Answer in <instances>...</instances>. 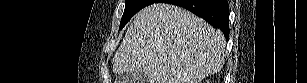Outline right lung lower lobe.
Listing matches in <instances>:
<instances>
[{"label":"right lung lower lobe","instance_id":"1","mask_svg":"<svg viewBox=\"0 0 307 83\" xmlns=\"http://www.w3.org/2000/svg\"><path fill=\"white\" fill-rule=\"evenodd\" d=\"M160 2H167L191 11L214 28H219L228 38L229 5L227 0H154L153 3Z\"/></svg>","mask_w":307,"mask_h":83}]
</instances>
